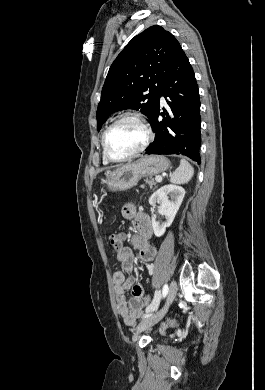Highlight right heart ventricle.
<instances>
[{"label":"right heart ventricle","instance_id":"right-heart-ventricle-1","mask_svg":"<svg viewBox=\"0 0 265 390\" xmlns=\"http://www.w3.org/2000/svg\"><path fill=\"white\" fill-rule=\"evenodd\" d=\"M103 162L104 163H107L108 162V160L106 159V157L103 155Z\"/></svg>","mask_w":265,"mask_h":390}]
</instances>
